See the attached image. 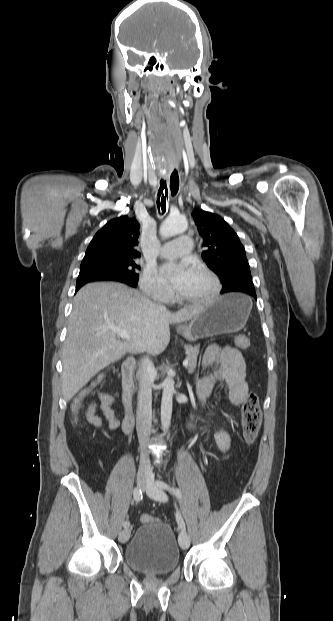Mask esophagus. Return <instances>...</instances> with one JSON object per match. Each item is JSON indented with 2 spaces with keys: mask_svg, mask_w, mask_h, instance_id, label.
Listing matches in <instances>:
<instances>
[{
  "mask_svg": "<svg viewBox=\"0 0 333 621\" xmlns=\"http://www.w3.org/2000/svg\"><path fill=\"white\" fill-rule=\"evenodd\" d=\"M165 180L168 185L169 196L175 198L179 192V183H181V176L178 170H173Z\"/></svg>",
  "mask_w": 333,
  "mask_h": 621,
  "instance_id": "obj_1",
  "label": "esophagus"
}]
</instances>
